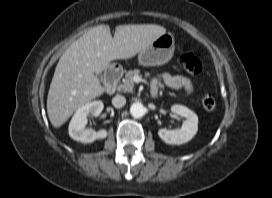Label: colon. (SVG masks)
Instances as JSON below:
<instances>
[{
    "label": "colon",
    "instance_id": "colon-1",
    "mask_svg": "<svg viewBox=\"0 0 272 198\" xmlns=\"http://www.w3.org/2000/svg\"><path fill=\"white\" fill-rule=\"evenodd\" d=\"M180 64L183 70L191 75H198L202 71L201 61L191 52L181 54ZM201 103L206 110H212L216 106V98L212 92L206 91L201 96Z\"/></svg>",
    "mask_w": 272,
    "mask_h": 198
}]
</instances>
